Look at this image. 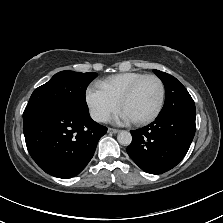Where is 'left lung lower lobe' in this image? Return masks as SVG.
Segmentation results:
<instances>
[{"mask_svg": "<svg viewBox=\"0 0 223 223\" xmlns=\"http://www.w3.org/2000/svg\"><path fill=\"white\" fill-rule=\"evenodd\" d=\"M131 134L128 155L142 170L161 174L175 167L186 155L195 134V114L157 117Z\"/></svg>", "mask_w": 223, "mask_h": 223, "instance_id": "1", "label": "left lung lower lobe"}]
</instances>
